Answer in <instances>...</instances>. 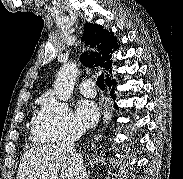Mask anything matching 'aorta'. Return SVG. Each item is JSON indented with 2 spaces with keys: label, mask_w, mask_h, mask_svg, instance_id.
Listing matches in <instances>:
<instances>
[{
  "label": "aorta",
  "mask_w": 183,
  "mask_h": 179,
  "mask_svg": "<svg viewBox=\"0 0 183 179\" xmlns=\"http://www.w3.org/2000/svg\"><path fill=\"white\" fill-rule=\"evenodd\" d=\"M76 77V63L68 62L60 68L54 84V92L57 99L64 102L70 99L73 93Z\"/></svg>",
  "instance_id": "obj_1"
}]
</instances>
